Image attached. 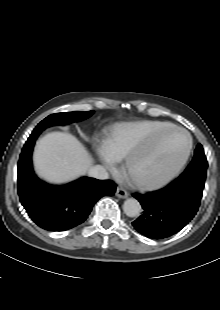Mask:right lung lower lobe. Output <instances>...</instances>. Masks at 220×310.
Segmentation results:
<instances>
[{
	"label": "right lung lower lobe",
	"mask_w": 220,
	"mask_h": 310,
	"mask_svg": "<svg viewBox=\"0 0 220 310\" xmlns=\"http://www.w3.org/2000/svg\"><path fill=\"white\" fill-rule=\"evenodd\" d=\"M37 137H29L18 162V194L30 218L48 231H65L83 223L94 204L112 196L116 184L111 180L83 177L72 183L54 186L36 177L32 150Z\"/></svg>",
	"instance_id": "obj_1"
}]
</instances>
